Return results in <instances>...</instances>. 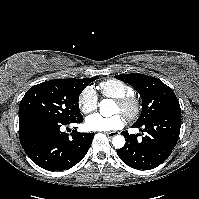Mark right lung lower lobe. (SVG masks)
Returning <instances> with one entry per match:
<instances>
[{"instance_id": "98d812e1", "label": "right lung lower lobe", "mask_w": 199, "mask_h": 199, "mask_svg": "<svg viewBox=\"0 0 199 199\" xmlns=\"http://www.w3.org/2000/svg\"><path fill=\"white\" fill-rule=\"evenodd\" d=\"M83 117L73 122L27 115L19 118V137L28 157L48 171H62L76 165L86 155L94 133L70 134L62 132L64 126L78 124Z\"/></svg>"}]
</instances>
